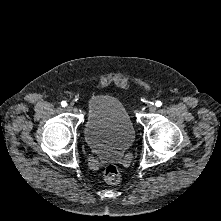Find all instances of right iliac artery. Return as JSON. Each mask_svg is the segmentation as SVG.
<instances>
[{"label":"right iliac artery","mask_w":221,"mask_h":221,"mask_svg":"<svg viewBox=\"0 0 221 221\" xmlns=\"http://www.w3.org/2000/svg\"><path fill=\"white\" fill-rule=\"evenodd\" d=\"M62 107H65L67 105V103L65 101L61 102Z\"/></svg>","instance_id":"obj_1"}]
</instances>
